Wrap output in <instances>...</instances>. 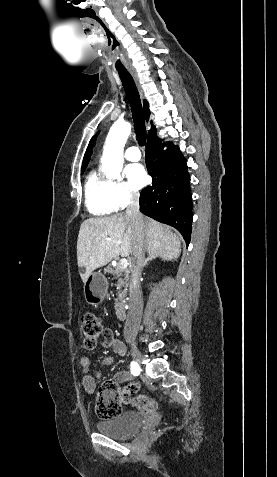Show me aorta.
<instances>
[{
	"label": "aorta",
	"instance_id": "aorta-1",
	"mask_svg": "<svg viewBox=\"0 0 277 477\" xmlns=\"http://www.w3.org/2000/svg\"><path fill=\"white\" fill-rule=\"evenodd\" d=\"M130 132V123L115 122L107 135L102 156V170L109 179H116L121 173L123 149Z\"/></svg>",
	"mask_w": 277,
	"mask_h": 477
}]
</instances>
